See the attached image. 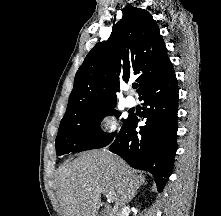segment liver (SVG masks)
Listing matches in <instances>:
<instances>
[{"mask_svg": "<svg viewBox=\"0 0 221 216\" xmlns=\"http://www.w3.org/2000/svg\"><path fill=\"white\" fill-rule=\"evenodd\" d=\"M144 183L142 174L109 151L84 152L65 161L57 171L62 216H98L101 194H112L118 211Z\"/></svg>", "mask_w": 221, "mask_h": 216, "instance_id": "obj_1", "label": "liver"}]
</instances>
